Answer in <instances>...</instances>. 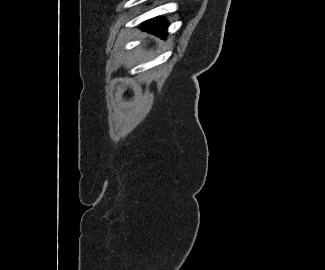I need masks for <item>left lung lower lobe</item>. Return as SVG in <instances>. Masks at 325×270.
<instances>
[{
	"instance_id": "1",
	"label": "left lung lower lobe",
	"mask_w": 325,
	"mask_h": 270,
	"mask_svg": "<svg viewBox=\"0 0 325 270\" xmlns=\"http://www.w3.org/2000/svg\"><path fill=\"white\" fill-rule=\"evenodd\" d=\"M168 24L162 18L148 20L142 23L141 29L149 33L155 34L161 38L167 35Z\"/></svg>"
}]
</instances>
